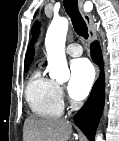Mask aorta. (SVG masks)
I'll use <instances>...</instances> for the list:
<instances>
[{
  "mask_svg": "<svg viewBox=\"0 0 119 141\" xmlns=\"http://www.w3.org/2000/svg\"><path fill=\"white\" fill-rule=\"evenodd\" d=\"M68 20L64 17L54 18L47 30L45 47L47 51L48 72L52 79L67 81L70 71L65 55V41L68 31ZM96 141H102V136L97 135Z\"/></svg>",
  "mask_w": 119,
  "mask_h": 141,
  "instance_id": "aorta-1",
  "label": "aorta"
}]
</instances>
